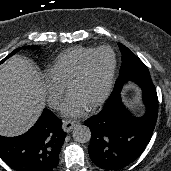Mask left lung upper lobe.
<instances>
[{
    "instance_id": "left-lung-upper-lobe-1",
    "label": "left lung upper lobe",
    "mask_w": 171,
    "mask_h": 171,
    "mask_svg": "<svg viewBox=\"0 0 171 171\" xmlns=\"http://www.w3.org/2000/svg\"><path fill=\"white\" fill-rule=\"evenodd\" d=\"M118 46L122 53V65L113 92L106 104L120 95L123 85L129 81L136 82L141 88L153 85L147 66L126 46L121 43H118Z\"/></svg>"
}]
</instances>
